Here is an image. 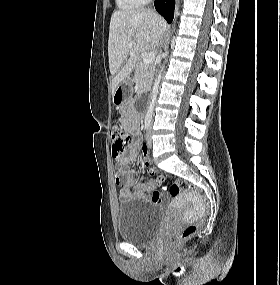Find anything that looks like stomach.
Segmentation results:
<instances>
[{"instance_id":"stomach-1","label":"stomach","mask_w":280,"mask_h":285,"mask_svg":"<svg viewBox=\"0 0 280 285\" xmlns=\"http://www.w3.org/2000/svg\"><path fill=\"white\" fill-rule=\"evenodd\" d=\"M132 87L131 78L127 77L124 79L116 88L113 94V103L115 105H120L123 103L129 96Z\"/></svg>"}]
</instances>
